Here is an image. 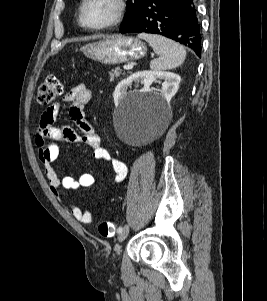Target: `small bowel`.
<instances>
[{"label":"small bowel","mask_w":267,"mask_h":301,"mask_svg":"<svg viewBox=\"0 0 267 301\" xmlns=\"http://www.w3.org/2000/svg\"><path fill=\"white\" fill-rule=\"evenodd\" d=\"M91 97V89L84 83H79L68 91L61 102L47 108L41 115L35 143L50 189L56 197H59L62 188L76 190L81 187H90L95 181L93 175L88 172L82 173L78 178L69 175L59 176L54 162L59 156L60 143L81 142L91 147L95 159L111 165L115 183L122 182L127 175L125 163L113 157L106 148L101 146L99 135L85 118L84 107ZM63 102L70 104L69 114L78 131L68 126L60 127L55 124ZM71 214L75 220L83 224H90L93 219L91 212L82 210L75 205L71 206Z\"/></svg>","instance_id":"small-bowel-1"}]
</instances>
